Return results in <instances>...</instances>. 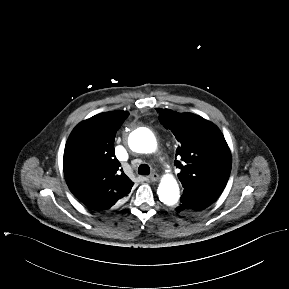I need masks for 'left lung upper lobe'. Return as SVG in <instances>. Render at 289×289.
I'll use <instances>...</instances> for the list:
<instances>
[{
  "label": "left lung upper lobe",
  "mask_w": 289,
  "mask_h": 289,
  "mask_svg": "<svg viewBox=\"0 0 289 289\" xmlns=\"http://www.w3.org/2000/svg\"><path fill=\"white\" fill-rule=\"evenodd\" d=\"M161 124L170 130L180 146L175 165L184 194L215 201L226 186L231 172V153L221 131L210 121L170 109H156Z\"/></svg>",
  "instance_id": "left-lung-upper-lobe-1"
}]
</instances>
